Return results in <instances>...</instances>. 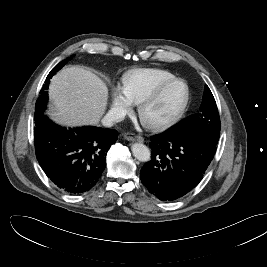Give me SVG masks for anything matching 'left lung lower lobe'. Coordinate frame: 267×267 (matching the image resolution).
<instances>
[{"mask_svg":"<svg viewBox=\"0 0 267 267\" xmlns=\"http://www.w3.org/2000/svg\"><path fill=\"white\" fill-rule=\"evenodd\" d=\"M149 145L151 160L140 171L141 181L160 200L173 201L199 184L217 143L196 131H168L153 136Z\"/></svg>","mask_w":267,"mask_h":267,"instance_id":"obj_1","label":"left lung lower lobe"}]
</instances>
